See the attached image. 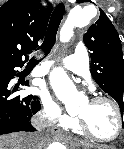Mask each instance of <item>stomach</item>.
<instances>
[{
	"label": "stomach",
	"mask_w": 124,
	"mask_h": 149,
	"mask_svg": "<svg viewBox=\"0 0 124 149\" xmlns=\"http://www.w3.org/2000/svg\"><path fill=\"white\" fill-rule=\"evenodd\" d=\"M98 149H106V148L103 147V148H98Z\"/></svg>",
	"instance_id": "obj_1"
}]
</instances>
